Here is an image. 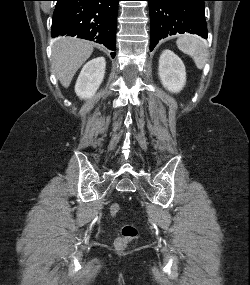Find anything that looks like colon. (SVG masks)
I'll return each mask as SVG.
<instances>
[{
	"instance_id": "obj_1",
	"label": "colon",
	"mask_w": 250,
	"mask_h": 285,
	"mask_svg": "<svg viewBox=\"0 0 250 285\" xmlns=\"http://www.w3.org/2000/svg\"><path fill=\"white\" fill-rule=\"evenodd\" d=\"M120 211V206L117 203H113L110 206V214L112 216H116ZM137 228L134 225H125L122 227L121 235L115 239V247L117 249H124L127 245L136 238L137 236Z\"/></svg>"
}]
</instances>
